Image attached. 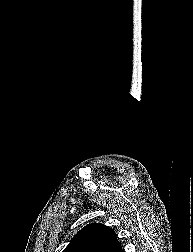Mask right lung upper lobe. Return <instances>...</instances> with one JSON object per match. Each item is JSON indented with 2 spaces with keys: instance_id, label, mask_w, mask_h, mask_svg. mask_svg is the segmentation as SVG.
I'll list each match as a JSON object with an SVG mask.
<instances>
[{
  "instance_id": "1",
  "label": "right lung upper lobe",
  "mask_w": 193,
  "mask_h": 252,
  "mask_svg": "<svg viewBox=\"0 0 193 252\" xmlns=\"http://www.w3.org/2000/svg\"><path fill=\"white\" fill-rule=\"evenodd\" d=\"M63 252H123L114 231L103 224L82 228Z\"/></svg>"
}]
</instances>
